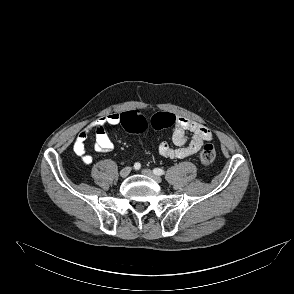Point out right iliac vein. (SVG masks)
Returning <instances> with one entry per match:
<instances>
[{
	"mask_svg": "<svg viewBox=\"0 0 294 294\" xmlns=\"http://www.w3.org/2000/svg\"><path fill=\"white\" fill-rule=\"evenodd\" d=\"M131 172V168L130 167H125L120 171V176L122 178H126Z\"/></svg>",
	"mask_w": 294,
	"mask_h": 294,
	"instance_id": "right-iliac-vein-1",
	"label": "right iliac vein"
}]
</instances>
